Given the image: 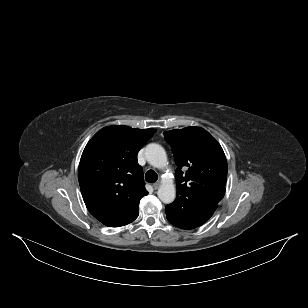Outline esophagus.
I'll return each mask as SVG.
<instances>
[{
  "label": "esophagus",
  "mask_w": 308,
  "mask_h": 308,
  "mask_svg": "<svg viewBox=\"0 0 308 308\" xmlns=\"http://www.w3.org/2000/svg\"><path fill=\"white\" fill-rule=\"evenodd\" d=\"M159 186H160V181H157V182H155V183L153 184V188H154L155 190L158 189Z\"/></svg>",
  "instance_id": "1"
}]
</instances>
